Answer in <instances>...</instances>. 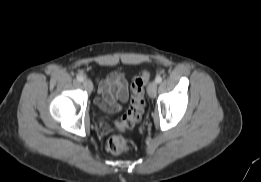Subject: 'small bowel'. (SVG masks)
<instances>
[{
    "instance_id": "small-bowel-1",
    "label": "small bowel",
    "mask_w": 261,
    "mask_h": 182,
    "mask_svg": "<svg viewBox=\"0 0 261 182\" xmlns=\"http://www.w3.org/2000/svg\"><path fill=\"white\" fill-rule=\"evenodd\" d=\"M100 96L96 103L104 112H118L129 98V83L122 72L114 71L106 78L99 80Z\"/></svg>"
}]
</instances>
